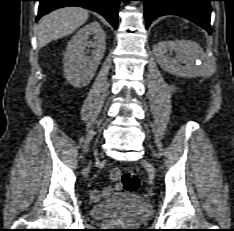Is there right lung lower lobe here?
<instances>
[{
    "label": "right lung lower lobe",
    "instance_id": "right-lung-lower-lobe-1",
    "mask_svg": "<svg viewBox=\"0 0 234 231\" xmlns=\"http://www.w3.org/2000/svg\"><path fill=\"white\" fill-rule=\"evenodd\" d=\"M40 2L38 21L43 15L66 6H80L103 15L116 29L118 22V5L121 0H38Z\"/></svg>",
    "mask_w": 234,
    "mask_h": 231
}]
</instances>
